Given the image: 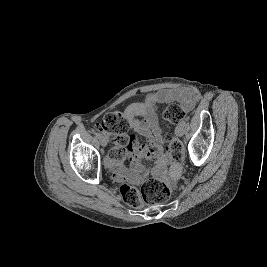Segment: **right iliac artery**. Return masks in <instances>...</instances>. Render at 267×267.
I'll list each match as a JSON object with an SVG mask.
<instances>
[{
    "label": "right iliac artery",
    "mask_w": 267,
    "mask_h": 267,
    "mask_svg": "<svg viewBox=\"0 0 267 267\" xmlns=\"http://www.w3.org/2000/svg\"><path fill=\"white\" fill-rule=\"evenodd\" d=\"M97 138H101V135L99 133L95 134Z\"/></svg>",
    "instance_id": "obj_1"
}]
</instances>
